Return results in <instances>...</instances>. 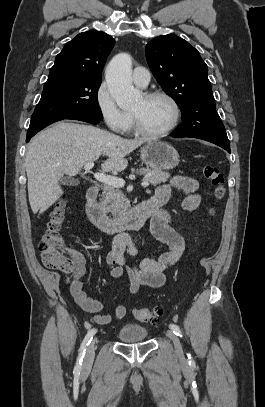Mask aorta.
I'll return each mask as SVG.
<instances>
[{"instance_id":"1","label":"aorta","mask_w":265,"mask_h":407,"mask_svg":"<svg viewBox=\"0 0 265 407\" xmlns=\"http://www.w3.org/2000/svg\"><path fill=\"white\" fill-rule=\"evenodd\" d=\"M132 58L127 53L117 54L109 62L105 78L112 97L120 108H129L141 98V92L132 85Z\"/></svg>"}]
</instances>
